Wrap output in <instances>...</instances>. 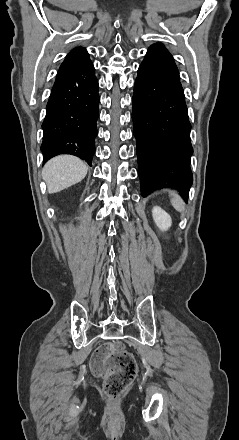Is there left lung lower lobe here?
Masks as SVG:
<instances>
[{
  "label": "left lung lower lobe",
  "instance_id": "obj_1",
  "mask_svg": "<svg viewBox=\"0 0 239 440\" xmlns=\"http://www.w3.org/2000/svg\"><path fill=\"white\" fill-rule=\"evenodd\" d=\"M132 104L142 196L168 182L179 185L187 201L193 181L191 124L179 71L160 43L148 49L138 69Z\"/></svg>",
  "mask_w": 239,
  "mask_h": 440
}]
</instances>
